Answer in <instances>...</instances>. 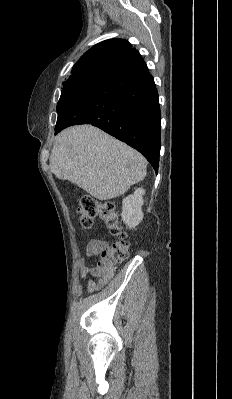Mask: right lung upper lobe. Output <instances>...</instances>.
I'll list each match as a JSON object with an SVG mask.
<instances>
[{
    "label": "right lung upper lobe",
    "mask_w": 232,
    "mask_h": 399,
    "mask_svg": "<svg viewBox=\"0 0 232 399\" xmlns=\"http://www.w3.org/2000/svg\"><path fill=\"white\" fill-rule=\"evenodd\" d=\"M143 61L138 51L126 40L109 39L84 53L73 66L72 75L63 83L81 78L105 80Z\"/></svg>",
    "instance_id": "right-lung-upper-lobe-1"
}]
</instances>
